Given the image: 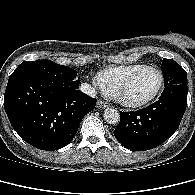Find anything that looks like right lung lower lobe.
I'll list each match as a JSON object with an SVG mask.
<instances>
[{
  "mask_svg": "<svg viewBox=\"0 0 195 195\" xmlns=\"http://www.w3.org/2000/svg\"><path fill=\"white\" fill-rule=\"evenodd\" d=\"M63 89L60 83L30 73L10 75L4 94L8 119L30 145L47 151L66 146L75 136L83 117L96 99L76 88L79 81Z\"/></svg>",
  "mask_w": 195,
  "mask_h": 195,
  "instance_id": "98d812e1",
  "label": "right lung lower lobe"
}]
</instances>
